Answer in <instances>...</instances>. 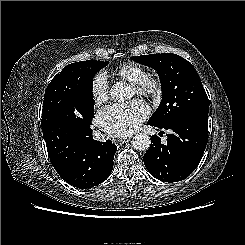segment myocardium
Segmentation results:
<instances>
[{"label": "myocardium", "instance_id": "myocardium-1", "mask_svg": "<svg viewBox=\"0 0 245 245\" xmlns=\"http://www.w3.org/2000/svg\"><path fill=\"white\" fill-rule=\"evenodd\" d=\"M131 86L135 90L136 94L148 98H155L159 96L162 90L160 79L155 75L149 74L144 76L139 81L131 83Z\"/></svg>", "mask_w": 245, "mask_h": 245}]
</instances>
